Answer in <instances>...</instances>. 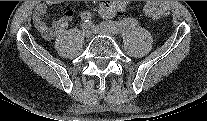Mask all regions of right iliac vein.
<instances>
[{
    "label": "right iliac vein",
    "instance_id": "obj_1",
    "mask_svg": "<svg viewBox=\"0 0 207 121\" xmlns=\"http://www.w3.org/2000/svg\"><path fill=\"white\" fill-rule=\"evenodd\" d=\"M82 32L85 38H90L92 36V28L89 24L84 23L82 25Z\"/></svg>",
    "mask_w": 207,
    "mask_h": 121
}]
</instances>
